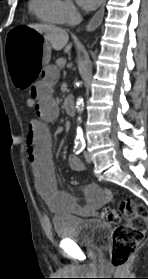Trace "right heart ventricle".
Segmentation results:
<instances>
[{
	"label": "right heart ventricle",
	"mask_w": 148,
	"mask_h": 279,
	"mask_svg": "<svg viewBox=\"0 0 148 279\" xmlns=\"http://www.w3.org/2000/svg\"><path fill=\"white\" fill-rule=\"evenodd\" d=\"M29 9L43 23L49 25L65 23L60 10V0H30Z\"/></svg>",
	"instance_id": "obj_1"
}]
</instances>
